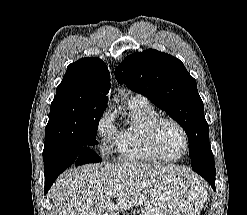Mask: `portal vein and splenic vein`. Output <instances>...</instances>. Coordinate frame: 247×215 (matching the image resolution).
<instances>
[{"mask_svg": "<svg viewBox=\"0 0 247 215\" xmlns=\"http://www.w3.org/2000/svg\"><path fill=\"white\" fill-rule=\"evenodd\" d=\"M110 196H111L112 198H114V197L116 196V193H115V192H111V193H110Z\"/></svg>", "mask_w": 247, "mask_h": 215, "instance_id": "1", "label": "portal vein and splenic vein"}]
</instances>
